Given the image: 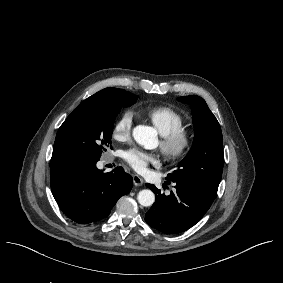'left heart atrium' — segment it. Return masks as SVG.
I'll return each mask as SVG.
<instances>
[{
	"instance_id": "1",
	"label": "left heart atrium",
	"mask_w": 283,
	"mask_h": 283,
	"mask_svg": "<svg viewBox=\"0 0 283 283\" xmlns=\"http://www.w3.org/2000/svg\"><path fill=\"white\" fill-rule=\"evenodd\" d=\"M123 157L137 171H143L147 165L156 162L155 155L136 148L126 150Z\"/></svg>"
}]
</instances>
